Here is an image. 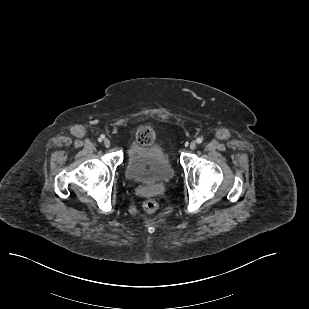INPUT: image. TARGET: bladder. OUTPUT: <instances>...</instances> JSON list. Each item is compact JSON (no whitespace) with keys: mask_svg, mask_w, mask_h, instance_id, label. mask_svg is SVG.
I'll list each match as a JSON object with an SVG mask.
<instances>
[{"mask_svg":"<svg viewBox=\"0 0 309 309\" xmlns=\"http://www.w3.org/2000/svg\"><path fill=\"white\" fill-rule=\"evenodd\" d=\"M174 168L164 149L157 143L144 145L134 142L127 151L125 176L135 183L168 182Z\"/></svg>","mask_w":309,"mask_h":309,"instance_id":"obj_1","label":"bladder"}]
</instances>
